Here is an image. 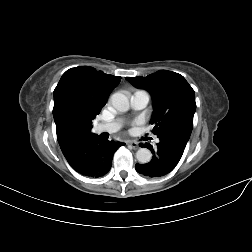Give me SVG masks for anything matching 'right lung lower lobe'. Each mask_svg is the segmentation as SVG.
<instances>
[{"label":"right lung lower lobe","instance_id":"1","mask_svg":"<svg viewBox=\"0 0 252 252\" xmlns=\"http://www.w3.org/2000/svg\"><path fill=\"white\" fill-rule=\"evenodd\" d=\"M124 143L99 139L97 135L84 137L64 154L70 166L87 177H102L111 168L114 152Z\"/></svg>","mask_w":252,"mask_h":252}]
</instances>
